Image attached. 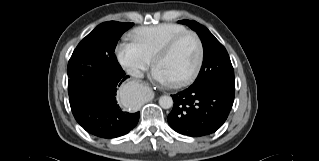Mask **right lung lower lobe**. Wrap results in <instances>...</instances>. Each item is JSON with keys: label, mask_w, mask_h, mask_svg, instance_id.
I'll return each instance as SVG.
<instances>
[{"label": "right lung lower lobe", "mask_w": 319, "mask_h": 161, "mask_svg": "<svg viewBox=\"0 0 319 161\" xmlns=\"http://www.w3.org/2000/svg\"><path fill=\"white\" fill-rule=\"evenodd\" d=\"M128 77L119 66L90 79L69 96L72 113L87 132L102 138H115L127 134L137 125L140 112H125L116 100L118 87Z\"/></svg>", "instance_id": "obj_1"}]
</instances>
